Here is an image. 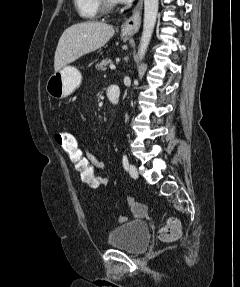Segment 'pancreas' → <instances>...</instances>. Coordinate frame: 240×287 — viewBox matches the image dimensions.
Here are the masks:
<instances>
[{"label": "pancreas", "mask_w": 240, "mask_h": 287, "mask_svg": "<svg viewBox=\"0 0 240 287\" xmlns=\"http://www.w3.org/2000/svg\"><path fill=\"white\" fill-rule=\"evenodd\" d=\"M111 63H112V60L106 58V59L101 60V61L95 66V68H96L98 71H100V70L105 71V70L107 69L106 66H107L108 64H111Z\"/></svg>", "instance_id": "obj_1"}]
</instances>
